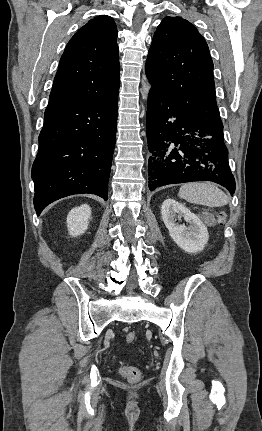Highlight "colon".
I'll return each instance as SVG.
<instances>
[{
  "label": "colon",
  "instance_id": "1",
  "mask_svg": "<svg viewBox=\"0 0 262 431\" xmlns=\"http://www.w3.org/2000/svg\"><path fill=\"white\" fill-rule=\"evenodd\" d=\"M137 339V333L134 331H129L126 334V341L128 343H132ZM119 372L122 376H124L129 382L135 383L141 379V372L139 369L133 366L122 365L119 369Z\"/></svg>",
  "mask_w": 262,
  "mask_h": 431
}]
</instances>
